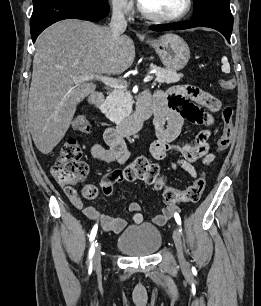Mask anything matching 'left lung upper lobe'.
<instances>
[{"mask_svg": "<svg viewBox=\"0 0 261 306\" xmlns=\"http://www.w3.org/2000/svg\"><path fill=\"white\" fill-rule=\"evenodd\" d=\"M193 19H227L233 18L230 11V0H193Z\"/></svg>", "mask_w": 261, "mask_h": 306, "instance_id": "obj_1", "label": "left lung upper lobe"}]
</instances>
